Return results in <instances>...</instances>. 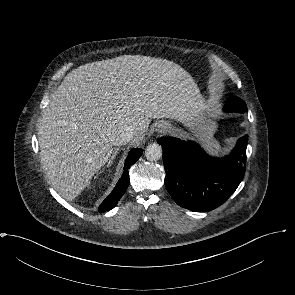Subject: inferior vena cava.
<instances>
[{
  "label": "inferior vena cava",
  "instance_id": "inferior-vena-cava-1",
  "mask_svg": "<svg viewBox=\"0 0 295 295\" xmlns=\"http://www.w3.org/2000/svg\"><path fill=\"white\" fill-rule=\"evenodd\" d=\"M135 137V132L133 130H126L118 135L114 140L115 146H122L133 140Z\"/></svg>",
  "mask_w": 295,
  "mask_h": 295
}]
</instances>
